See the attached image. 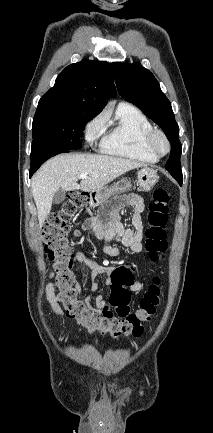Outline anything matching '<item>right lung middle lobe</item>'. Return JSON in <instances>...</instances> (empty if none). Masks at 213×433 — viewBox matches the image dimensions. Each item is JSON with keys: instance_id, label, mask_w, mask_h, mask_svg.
<instances>
[{"instance_id": "1", "label": "right lung middle lobe", "mask_w": 213, "mask_h": 433, "mask_svg": "<svg viewBox=\"0 0 213 433\" xmlns=\"http://www.w3.org/2000/svg\"><path fill=\"white\" fill-rule=\"evenodd\" d=\"M94 116L78 106L39 102L32 124V150L44 145L80 149L84 126Z\"/></svg>"}]
</instances>
